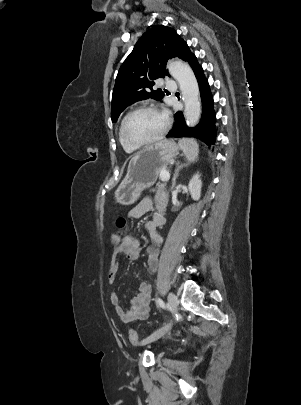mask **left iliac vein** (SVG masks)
I'll return each instance as SVG.
<instances>
[{"instance_id": "1", "label": "left iliac vein", "mask_w": 301, "mask_h": 405, "mask_svg": "<svg viewBox=\"0 0 301 405\" xmlns=\"http://www.w3.org/2000/svg\"><path fill=\"white\" fill-rule=\"evenodd\" d=\"M168 304H169V307L171 308V310L175 314L177 312L178 300H177V296L173 292H169V294H168ZM171 326H172V324L170 323V324L162 327L161 329L157 330L156 332H154L153 334H151L150 336L145 338L142 341V345L149 344V343L161 338L171 329Z\"/></svg>"}]
</instances>
